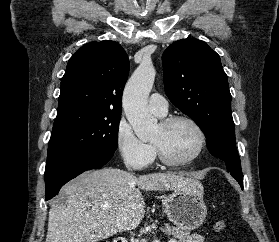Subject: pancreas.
Returning a JSON list of instances; mask_svg holds the SVG:
<instances>
[{"label":"pancreas","mask_w":279,"mask_h":242,"mask_svg":"<svg viewBox=\"0 0 279 242\" xmlns=\"http://www.w3.org/2000/svg\"><path fill=\"white\" fill-rule=\"evenodd\" d=\"M166 235L172 236L173 238L178 239L177 242H204V237L199 234H190L189 231H185L178 227L170 226L165 224L164 227L160 228ZM133 242H146L143 239H136Z\"/></svg>","instance_id":"1"}]
</instances>
